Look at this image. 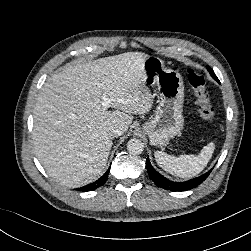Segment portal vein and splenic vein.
Wrapping results in <instances>:
<instances>
[{
	"label": "portal vein and splenic vein",
	"mask_w": 251,
	"mask_h": 251,
	"mask_svg": "<svg viewBox=\"0 0 251 251\" xmlns=\"http://www.w3.org/2000/svg\"><path fill=\"white\" fill-rule=\"evenodd\" d=\"M111 102V100L110 99H104V101L102 102V106L103 107H105V108H107L108 106H109V103Z\"/></svg>",
	"instance_id": "1"
}]
</instances>
